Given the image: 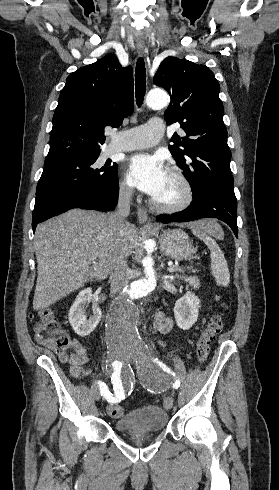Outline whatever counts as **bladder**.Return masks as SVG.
Here are the masks:
<instances>
[{"label":"bladder","instance_id":"bladder-1","mask_svg":"<svg viewBox=\"0 0 279 490\" xmlns=\"http://www.w3.org/2000/svg\"><path fill=\"white\" fill-rule=\"evenodd\" d=\"M168 424L167 411L158 405H144L127 412L123 417L114 421L113 426L121 435L135 432L163 431Z\"/></svg>","mask_w":279,"mask_h":490}]
</instances>
